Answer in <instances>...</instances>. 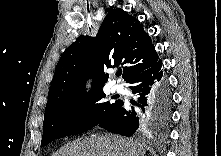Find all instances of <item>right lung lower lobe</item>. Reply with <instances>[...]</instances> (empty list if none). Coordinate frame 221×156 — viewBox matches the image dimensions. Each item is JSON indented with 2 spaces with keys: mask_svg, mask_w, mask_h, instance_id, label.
<instances>
[{
  "mask_svg": "<svg viewBox=\"0 0 221 156\" xmlns=\"http://www.w3.org/2000/svg\"><path fill=\"white\" fill-rule=\"evenodd\" d=\"M126 83L134 94L139 95L138 103L142 113L123 101L117 110L98 125L112 133L132 136L138 128L157 129L169 123L171 94L168 81L162 71V61L158 60L150 68L131 77Z\"/></svg>",
  "mask_w": 221,
  "mask_h": 156,
  "instance_id": "1",
  "label": "right lung lower lobe"
}]
</instances>
